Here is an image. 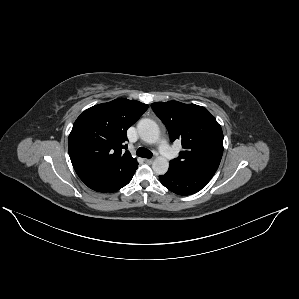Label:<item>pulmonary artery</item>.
<instances>
[{"mask_svg":"<svg viewBox=\"0 0 299 299\" xmlns=\"http://www.w3.org/2000/svg\"><path fill=\"white\" fill-rule=\"evenodd\" d=\"M159 152L160 154L164 157V158H168L171 154V149L169 148V146L167 145V143L165 141H162L159 144Z\"/></svg>","mask_w":299,"mask_h":299,"instance_id":"pulmonary-artery-1","label":"pulmonary artery"}]
</instances>
